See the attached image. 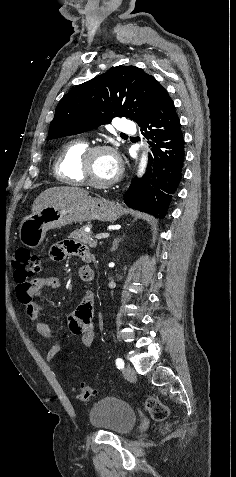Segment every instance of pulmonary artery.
<instances>
[{"label": "pulmonary artery", "mask_w": 236, "mask_h": 477, "mask_svg": "<svg viewBox=\"0 0 236 477\" xmlns=\"http://www.w3.org/2000/svg\"><path fill=\"white\" fill-rule=\"evenodd\" d=\"M116 128L119 132L123 134H132L135 133L136 129L134 124L131 121L119 120Z\"/></svg>", "instance_id": "1"}]
</instances>
